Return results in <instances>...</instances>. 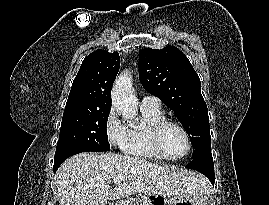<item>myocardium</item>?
Returning a JSON list of instances; mask_svg holds the SVG:
<instances>
[{
  "label": "myocardium",
  "instance_id": "f54148a6",
  "mask_svg": "<svg viewBox=\"0 0 269 205\" xmlns=\"http://www.w3.org/2000/svg\"><path fill=\"white\" fill-rule=\"evenodd\" d=\"M169 126H174L180 129L185 135V138L187 140V151L180 157L169 156L163 149L162 136H163L164 131ZM148 137H149V143L153 151L155 152V154L159 158L168 160V161H180V160L185 159L186 157L189 156L193 148L192 138L187 128L184 125H182L180 122L172 120V119H168V118H164L156 122L155 124H153L149 128Z\"/></svg>",
  "mask_w": 269,
  "mask_h": 205
}]
</instances>
